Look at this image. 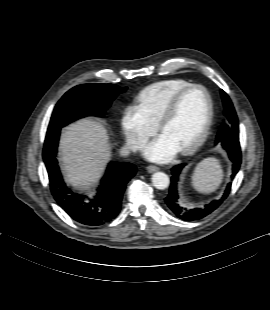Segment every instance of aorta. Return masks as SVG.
Here are the masks:
<instances>
[{
	"label": "aorta",
	"instance_id": "762f6f07",
	"mask_svg": "<svg viewBox=\"0 0 270 310\" xmlns=\"http://www.w3.org/2000/svg\"><path fill=\"white\" fill-rule=\"evenodd\" d=\"M152 184L155 188L164 190L169 186L170 180L168 175L164 172H155L152 175Z\"/></svg>",
	"mask_w": 270,
	"mask_h": 310
}]
</instances>
